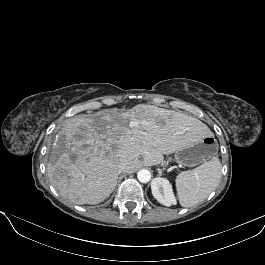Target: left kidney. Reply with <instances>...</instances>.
I'll list each match as a JSON object with an SVG mask.
<instances>
[{"label": "left kidney", "instance_id": "5707ae66", "mask_svg": "<svg viewBox=\"0 0 265 265\" xmlns=\"http://www.w3.org/2000/svg\"><path fill=\"white\" fill-rule=\"evenodd\" d=\"M151 190L154 198L161 204L170 207L176 205L172 186L166 178H154L151 183Z\"/></svg>", "mask_w": 265, "mask_h": 265}]
</instances>
